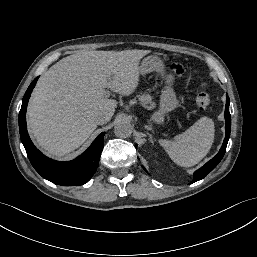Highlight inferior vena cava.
<instances>
[{
    "instance_id": "inferior-vena-cava-1",
    "label": "inferior vena cava",
    "mask_w": 257,
    "mask_h": 257,
    "mask_svg": "<svg viewBox=\"0 0 257 257\" xmlns=\"http://www.w3.org/2000/svg\"><path fill=\"white\" fill-rule=\"evenodd\" d=\"M110 118H111L110 114H100L96 117V123L98 125L105 124L110 120Z\"/></svg>"
}]
</instances>
